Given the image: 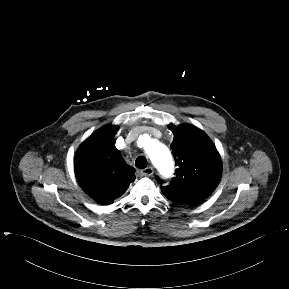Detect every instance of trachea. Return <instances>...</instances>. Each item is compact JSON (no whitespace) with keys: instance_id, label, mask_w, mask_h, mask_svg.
Masks as SVG:
<instances>
[{"instance_id":"3493384b","label":"trachea","mask_w":289,"mask_h":289,"mask_svg":"<svg viewBox=\"0 0 289 289\" xmlns=\"http://www.w3.org/2000/svg\"><path fill=\"white\" fill-rule=\"evenodd\" d=\"M135 165L137 168L144 169L147 167V160L144 156H139L136 161Z\"/></svg>"}]
</instances>
